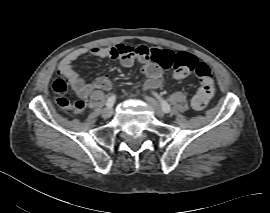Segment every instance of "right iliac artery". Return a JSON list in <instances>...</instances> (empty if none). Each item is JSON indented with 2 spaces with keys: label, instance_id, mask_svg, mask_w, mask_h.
I'll use <instances>...</instances> for the list:
<instances>
[{
  "label": "right iliac artery",
  "instance_id": "1",
  "mask_svg": "<svg viewBox=\"0 0 270 213\" xmlns=\"http://www.w3.org/2000/svg\"><path fill=\"white\" fill-rule=\"evenodd\" d=\"M114 103H115V96L112 95L111 97L108 98L106 106L112 108Z\"/></svg>",
  "mask_w": 270,
  "mask_h": 213
}]
</instances>
